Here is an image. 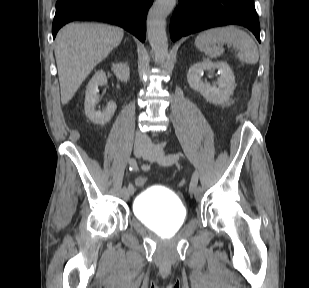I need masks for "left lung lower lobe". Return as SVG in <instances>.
I'll list each match as a JSON object with an SVG mask.
<instances>
[{
	"label": "left lung lower lobe",
	"mask_w": 309,
	"mask_h": 288,
	"mask_svg": "<svg viewBox=\"0 0 309 288\" xmlns=\"http://www.w3.org/2000/svg\"><path fill=\"white\" fill-rule=\"evenodd\" d=\"M227 24L250 29L260 42L259 18L254 0H179L172 19V40Z\"/></svg>",
	"instance_id": "left-lung-lower-lobe-1"
}]
</instances>
